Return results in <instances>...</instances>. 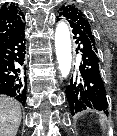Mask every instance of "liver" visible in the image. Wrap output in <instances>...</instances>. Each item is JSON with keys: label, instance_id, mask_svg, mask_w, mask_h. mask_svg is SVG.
<instances>
[{"label": "liver", "instance_id": "1", "mask_svg": "<svg viewBox=\"0 0 117 136\" xmlns=\"http://www.w3.org/2000/svg\"><path fill=\"white\" fill-rule=\"evenodd\" d=\"M20 123V103L12 98L0 97V136H16Z\"/></svg>", "mask_w": 117, "mask_h": 136}]
</instances>
